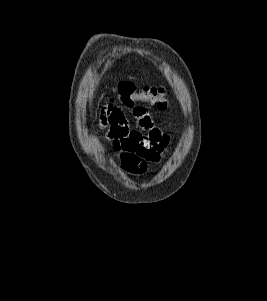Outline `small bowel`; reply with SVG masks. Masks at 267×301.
<instances>
[{"label":"small bowel","mask_w":267,"mask_h":301,"mask_svg":"<svg viewBox=\"0 0 267 301\" xmlns=\"http://www.w3.org/2000/svg\"><path fill=\"white\" fill-rule=\"evenodd\" d=\"M133 115L138 123L131 128L123 110L113 104L102 108L99 128H107L106 137L117 153L120 167L129 174H143L150 164H159L170 143L169 135L156 126L148 110L135 107Z\"/></svg>","instance_id":"1"}]
</instances>
